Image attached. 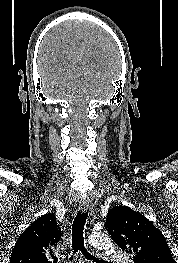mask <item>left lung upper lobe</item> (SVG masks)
Here are the masks:
<instances>
[{"label":"left lung upper lobe","instance_id":"1","mask_svg":"<svg viewBox=\"0 0 178 263\" xmlns=\"http://www.w3.org/2000/svg\"><path fill=\"white\" fill-rule=\"evenodd\" d=\"M105 227L134 263H175L163 234L143 215L126 206L108 212Z\"/></svg>","mask_w":178,"mask_h":263}]
</instances>
